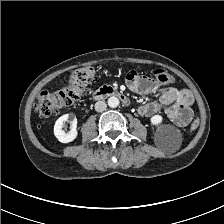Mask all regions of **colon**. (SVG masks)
Returning <instances> with one entry per match:
<instances>
[{"instance_id":"colon-1","label":"colon","mask_w":224,"mask_h":224,"mask_svg":"<svg viewBox=\"0 0 224 224\" xmlns=\"http://www.w3.org/2000/svg\"><path fill=\"white\" fill-rule=\"evenodd\" d=\"M156 79L164 84L175 83V78L167 70L159 68L154 72ZM95 79V70L92 66H81L75 69L69 79L68 85L57 91L43 90L37 97L35 105L39 116L47 117L61 108L75 104L81 97L85 88ZM199 119L191 122L190 128L196 129Z\"/></svg>"}]
</instances>
